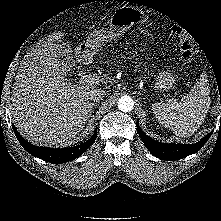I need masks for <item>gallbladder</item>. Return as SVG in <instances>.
Wrapping results in <instances>:
<instances>
[{
  "label": "gallbladder",
  "mask_w": 221,
  "mask_h": 221,
  "mask_svg": "<svg viewBox=\"0 0 221 221\" xmlns=\"http://www.w3.org/2000/svg\"><path fill=\"white\" fill-rule=\"evenodd\" d=\"M54 44V50L60 62L67 68V70H72L75 61L71 46L60 39L55 40Z\"/></svg>",
  "instance_id": "bac80fb5"
}]
</instances>
